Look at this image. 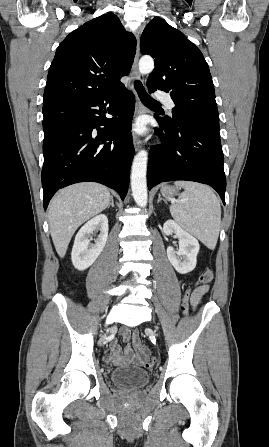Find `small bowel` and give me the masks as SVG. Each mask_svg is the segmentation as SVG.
Instances as JSON below:
<instances>
[{
	"instance_id": "obj_1",
	"label": "small bowel",
	"mask_w": 269,
	"mask_h": 447,
	"mask_svg": "<svg viewBox=\"0 0 269 447\" xmlns=\"http://www.w3.org/2000/svg\"><path fill=\"white\" fill-rule=\"evenodd\" d=\"M209 290V286L200 285L198 286L191 295V305L193 308H197L201 303ZM121 338L126 342L124 353H122L120 347L117 344H113L110 351V360L114 365H121L125 362H132L134 364L141 365L142 357H151L144 354V349L147 347L142 343L139 335L134 333L132 335L133 345L128 343L131 332L129 328H122L120 330ZM134 349L136 352H134Z\"/></svg>"
}]
</instances>
